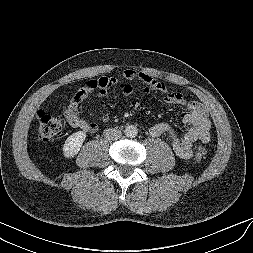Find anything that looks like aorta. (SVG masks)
Returning a JSON list of instances; mask_svg holds the SVG:
<instances>
[{
  "label": "aorta",
  "mask_w": 253,
  "mask_h": 253,
  "mask_svg": "<svg viewBox=\"0 0 253 253\" xmlns=\"http://www.w3.org/2000/svg\"><path fill=\"white\" fill-rule=\"evenodd\" d=\"M124 133L128 138H135L138 134V129L134 125L126 126Z\"/></svg>",
  "instance_id": "762f6f07"
}]
</instances>
